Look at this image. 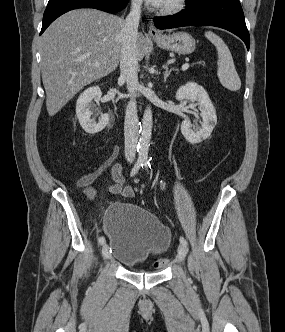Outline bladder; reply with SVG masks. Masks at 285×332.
I'll list each match as a JSON object with an SVG mask.
<instances>
[{"instance_id":"1","label":"bladder","mask_w":285,"mask_h":332,"mask_svg":"<svg viewBox=\"0 0 285 332\" xmlns=\"http://www.w3.org/2000/svg\"><path fill=\"white\" fill-rule=\"evenodd\" d=\"M104 230L110 255L127 267L165 249L170 241L168 229L153 214L134 204H113L106 212Z\"/></svg>"}]
</instances>
